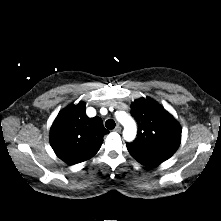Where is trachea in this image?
Here are the masks:
<instances>
[{"mask_svg": "<svg viewBox=\"0 0 221 221\" xmlns=\"http://www.w3.org/2000/svg\"><path fill=\"white\" fill-rule=\"evenodd\" d=\"M105 126H106L107 129L112 130V129L115 128L116 124H115V121H114V120L108 119V120L105 122Z\"/></svg>", "mask_w": 221, "mask_h": 221, "instance_id": "trachea-1", "label": "trachea"}]
</instances>
